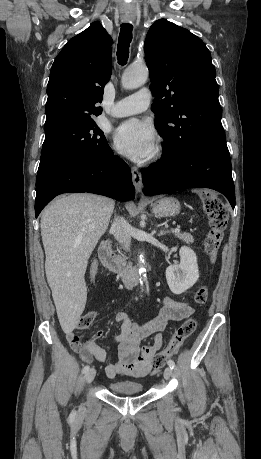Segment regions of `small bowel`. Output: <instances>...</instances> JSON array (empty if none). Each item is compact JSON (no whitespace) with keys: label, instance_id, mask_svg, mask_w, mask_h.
Returning a JSON list of instances; mask_svg holds the SVG:
<instances>
[{"label":"small bowel","instance_id":"c3829d8e","mask_svg":"<svg viewBox=\"0 0 261 459\" xmlns=\"http://www.w3.org/2000/svg\"><path fill=\"white\" fill-rule=\"evenodd\" d=\"M97 269L98 264L95 262L90 269L91 279L95 278ZM193 313L194 308L189 304L165 297L158 314L147 323H134L123 312L116 314L115 321L119 324L120 332L113 339L119 347L118 361L107 364L106 376L108 378L117 375L143 377L149 374L152 370L151 360L164 343L163 331L167 324L170 321H182ZM102 335V331H97L89 341L82 343L74 331H70L67 333V339L83 361L103 363L106 361V351L98 343ZM144 341L146 343L142 344Z\"/></svg>","mask_w":261,"mask_h":459}]
</instances>
